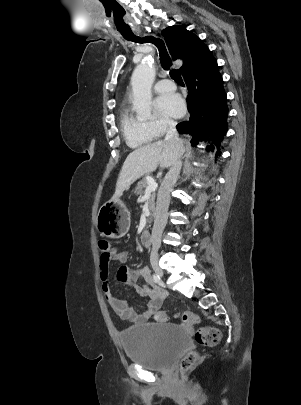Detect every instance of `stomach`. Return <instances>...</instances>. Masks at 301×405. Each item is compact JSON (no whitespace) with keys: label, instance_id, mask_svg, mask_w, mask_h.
Instances as JSON below:
<instances>
[{"label":"stomach","instance_id":"stomach-1","mask_svg":"<svg viewBox=\"0 0 301 405\" xmlns=\"http://www.w3.org/2000/svg\"><path fill=\"white\" fill-rule=\"evenodd\" d=\"M96 227L102 236L118 239L130 228V213L119 199L106 202L98 211Z\"/></svg>","mask_w":301,"mask_h":405}]
</instances>
